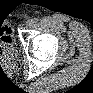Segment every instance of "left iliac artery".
Listing matches in <instances>:
<instances>
[{
  "label": "left iliac artery",
  "instance_id": "44dca946",
  "mask_svg": "<svg viewBox=\"0 0 93 93\" xmlns=\"http://www.w3.org/2000/svg\"><path fill=\"white\" fill-rule=\"evenodd\" d=\"M37 22H38V18H34L33 23H37Z\"/></svg>",
  "mask_w": 93,
  "mask_h": 93
}]
</instances>
